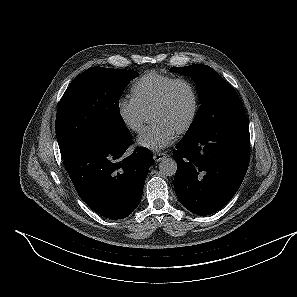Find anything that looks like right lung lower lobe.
<instances>
[{"instance_id":"right-lung-lower-lobe-1","label":"right lung lower lobe","mask_w":297,"mask_h":297,"mask_svg":"<svg viewBox=\"0 0 297 297\" xmlns=\"http://www.w3.org/2000/svg\"><path fill=\"white\" fill-rule=\"evenodd\" d=\"M132 143L131 134L126 138L95 140L64 160L78 195L109 219H123L139 205L153 164V155L144 147L126 156Z\"/></svg>"}]
</instances>
